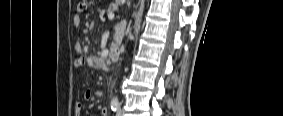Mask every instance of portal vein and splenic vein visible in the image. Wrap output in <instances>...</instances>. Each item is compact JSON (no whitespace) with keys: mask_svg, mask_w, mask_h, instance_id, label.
Masks as SVG:
<instances>
[{"mask_svg":"<svg viewBox=\"0 0 283 116\" xmlns=\"http://www.w3.org/2000/svg\"><path fill=\"white\" fill-rule=\"evenodd\" d=\"M114 17H115V15H114L113 13L108 14V19H109V20L114 19Z\"/></svg>","mask_w":283,"mask_h":116,"instance_id":"1","label":"portal vein and splenic vein"}]
</instances>
